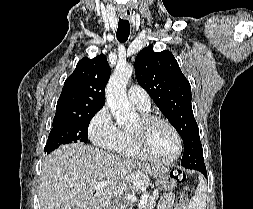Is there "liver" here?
Here are the masks:
<instances>
[{"label": "liver", "instance_id": "1", "mask_svg": "<svg viewBox=\"0 0 253 209\" xmlns=\"http://www.w3.org/2000/svg\"><path fill=\"white\" fill-rule=\"evenodd\" d=\"M167 171L82 143L63 145L43 161L40 206L41 209H108L112 198L120 192L143 190L149 175L157 177ZM98 182H105L106 186L96 191Z\"/></svg>", "mask_w": 253, "mask_h": 209}]
</instances>
